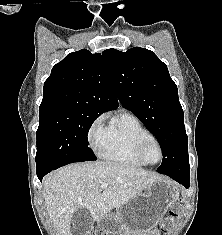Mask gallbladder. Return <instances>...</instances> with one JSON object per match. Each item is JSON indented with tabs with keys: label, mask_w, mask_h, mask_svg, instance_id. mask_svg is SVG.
I'll use <instances>...</instances> for the list:
<instances>
[{
	"label": "gallbladder",
	"mask_w": 222,
	"mask_h": 235,
	"mask_svg": "<svg viewBox=\"0 0 222 235\" xmlns=\"http://www.w3.org/2000/svg\"><path fill=\"white\" fill-rule=\"evenodd\" d=\"M92 226V217L86 208L77 209L71 218V235H87Z\"/></svg>",
	"instance_id": "bac80fb5"
}]
</instances>
